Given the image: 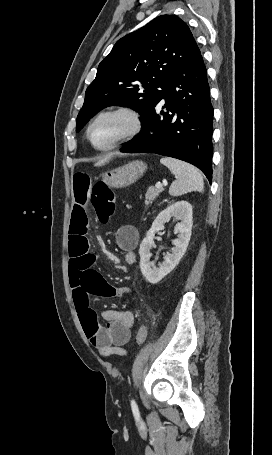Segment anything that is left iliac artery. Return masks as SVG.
Here are the masks:
<instances>
[{
	"instance_id": "obj_1",
	"label": "left iliac artery",
	"mask_w": 272,
	"mask_h": 455,
	"mask_svg": "<svg viewBox=\"0 0 272 455\" xmlns=\"http://www.w3.org/2000/svg\"><path fill=\"white\" fill-rule=\"evenodd\" d=\"M131 408H132L133 414L135 416H138L139 415V409H138V406H137L135 400H131Z\"/></svg>"
}]
</instances>
